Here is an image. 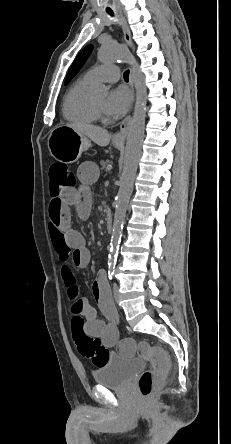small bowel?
Returning a JSON list of instances; mask_svg holds the SVG:
<instances>
[{"label":"small bowel","mask_w":231,"mask_h":444,"mask_svg":"<svg viewBox=\"0 0 231 444\" xmlns=\"http://www.w3.org/2000/svg\"><path fill=\"white\" fill-rule=\"evenodd\" d=\"M99 176L96 165L83 162L77 170L80 188L66 189L58 200L51 199L49 204V234L55 252L62 262V279L71 301V314H79L84 318V331L87 335L102 342L106 347H113L119 340V327L115 320V309L105 275L99 273L93 283V294L99 307L108 312L112 318L103 320L98 317V311L84 298L79 297L75 278L69 267H86L90 262V251L86 247L83 235L71 228L70 207L74 206L81 219L89 216L91 195L89 186L97 181Z\"/></svg>","instance_id":"1"}]
</instances>
